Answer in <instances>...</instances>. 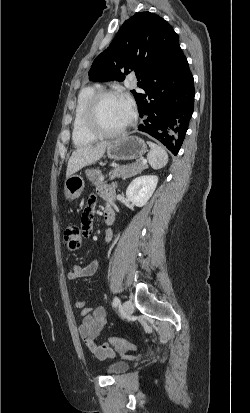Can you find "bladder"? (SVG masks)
<instances>
[{
  "label": "bladder",
  "instance_id": "obj_1",
  "mask_svg": "<svg viewBox=\"0 0 250 413\" xmlns=\"http://www.w3.org/2000/svg\"><path fill=\"white\" fill-rule=\"evenodd\" d=\"M129 369V363L124 360H119L111 363L107 367V372L112 375L121 374Z\"/></svg>",
  "mask_w": 250,
  "mask_h": 413
}]
</instances>
